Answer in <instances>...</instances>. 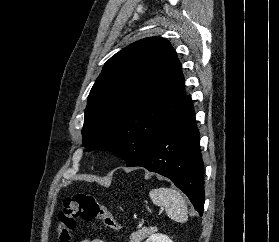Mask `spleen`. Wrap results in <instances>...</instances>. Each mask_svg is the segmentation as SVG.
<instances>
[{"label":"spleen","mask_w":279,"mask_h":242,"mask_svg":"<svg viewBox=\"0 0 279 242\" xmlns=\"http://www.w3.org/2000/svg\"><path fill=\"white\" fill-rule=\"evenodd\" d=\"M149 197L155 205L163 206L171 219L181 223L187 221L188 208L180 192L172 188L160 187L152 189Z\"/></svg>","instance_id":"1"}]
</instances>
